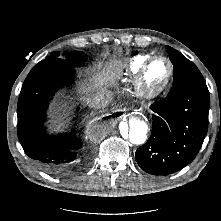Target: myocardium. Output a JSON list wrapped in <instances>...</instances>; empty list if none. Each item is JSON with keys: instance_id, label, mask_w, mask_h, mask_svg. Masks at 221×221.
Returning a JSON list of instances; mask_svg holds the SVG:
<instances>
[{"instance_id": "obj_1", "label": "myocardium", "mask_w": 221, "mask_h": 221, "mask_svg": "<svg viewBox=\"0 0 221 221\" xmlns=\"http://www.w3.org/2000/svg\"><path fill=\"white\" fill-rule=\"evenodd\" d=\"M157 59H163L167 62L169 66V73H168V77L166 81L161 86L157 88H150L146 84V80H145L146 74L151 64ZM173 77H174V66H173L172 61L164 55H160V54L153 55L143 64L139 73L136 75L135 82H134L135 90L142 99H145V100L155 99L161 96L163 93H165L169 89V87L172 84Z\"/></svg>"}]
</instances>
